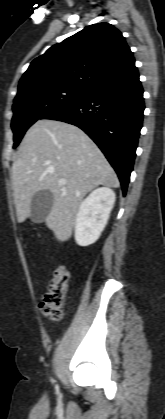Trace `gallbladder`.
Segmentation results:
<instances>
[{"instance_id": "obj_1", "label": "gallbladder", "mask_w": 165, "mask_h": 419, "mask_svg": "<svg viewBox=\"0 0 165 419\" xmlns=\"http://www.w3.org/2000/svg\"><path fill=\"white\" fill-rule=\"evenodd\" d=\"M53 204V195L48 190L36 192L31 199L30 219L34 223H42L49 214Z\"/></svg>"}]
</instances>
